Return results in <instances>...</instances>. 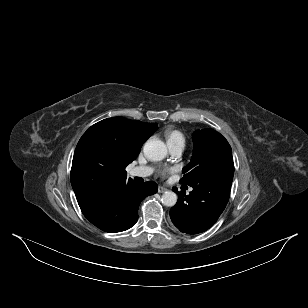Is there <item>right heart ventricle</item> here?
Instances as JSON below:
<instances>
[{"instance_id": "e07e8e85", "label": "right heart ventricle", "mask_w": 308, "mask_h": 308, "mask_svg": "<svg viewBox=\"0 0 308 308\" xmlns=\"http://www.w3.org/2000/svg\"><path fill=\"white\" fill-rule=\"evenodd\" d=\"M167 144H181L185 146L186 137L185 135L178 129H168L164 133Z\"/></svg>"}]
</instances>
